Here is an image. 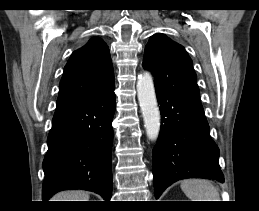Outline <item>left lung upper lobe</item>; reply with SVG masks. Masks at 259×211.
<instances>
[{"label": "left lung upper lobe", "instance_id": "left-lung-upper-lobe-1", "mask_svg": "<svg viewBox=\"0 0 259 211\" xmlns=\"http://www.w3.org/2000/svg\"><path fill=\"white\" fill-rule=\"evenodd\" d=\"M143 67L155 77V88L200 98L192 60L180 44L163 34L153 35L145 47Z\"/></svg>", "mask_w": 259, "mask_h": 211}]
</instances>
